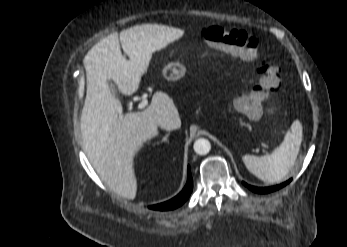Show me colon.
Masks as SVG:
<instances>
[{
  "label": "colon",
  "mask_w": 347,
  "mask_h": 247,
  "mask_svg": "<svg viewBox=\"0 0 347 247\" xmlns=\"http://www.w3.org/2000/svg\"><path fill=\"white\" fill-rule=\"evenodd\" d=\"M200 36L205 44L216 51L238 56L245 61L257 57L259 40L244 30L209 25L201 30ZM258 72L261 75L259 86L256 89L248 88L245 95L237 100L239 111L251 118L261 115L265 93H274L281 86L278 67L264 60L260 62Z\"/></svg>",
  "instance_id": "5ec220e1"
}]
</instances>
